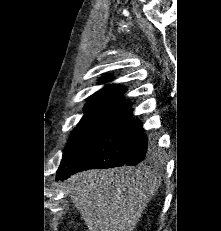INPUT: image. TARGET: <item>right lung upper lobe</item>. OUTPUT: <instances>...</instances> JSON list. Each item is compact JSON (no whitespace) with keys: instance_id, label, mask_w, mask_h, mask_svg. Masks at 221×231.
<instances>
[{"instance_id":"obj_1","label":"right lung upper lobe","mask_w":221,"mask_h":231,"mask_svg":"<svg viewBox=\"0 0 221 231\" xmlns=\"http://www.w3.org/2000/svg\"><path fill=\"white\" fill-rule=\"evenodd\" d=\"M111 76H105L100 78L101 82H107L111 81ZM126 92V89L122 86L109 84L106 85L102 90L98 91L97 93L91 95L88 100L93 99H101V98H113V99H120L124 100V93Z\"/></svg>"}]
</instances>
